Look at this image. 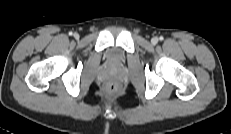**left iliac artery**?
Segmentation results:
<instances>
[{
  "label": "left iliac artery",
  "mask_w": 231,
  "mask_h": 134,
  "mask_svg": "<svg viewBox=\"0 0 231 134\" xmlns=\"http://www.w3.org/2000/svg\"><path fill=\"white\" fill-rule=\"evenodd\" d=\"M160 40H163V37H160Z\"/></svg>",
  "instance_id": "44dca946"
}]
</instances>
